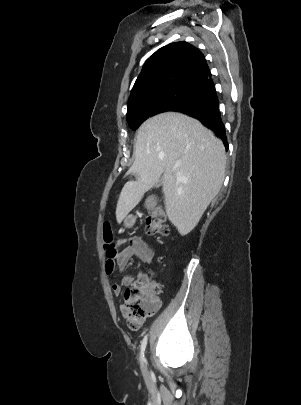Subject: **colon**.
Returning <instances> with one entry per match:
<instances>
[{
  "label": "colon",
  "instance_id": "obj_1",
  "mask_svg": "<svg viewBox=\"0 0 301 405\" xmlns=\"http://www.w3.org/2000/svg\"><path fill=\"white\" fill-rule=\"evenodd\" d=\"M102 231L104 249L108 259H112L117 253V247L113 240L111 224L104 222ZM168 231L165 213L161 209L152 210L146 219L147 234L166 236ZM159 294V286L146 277H140L125 291L121 309L130 328L139 329L145 320L157 311Z\"/></svg>",
  "mask_w": 301,
  "mask_h": 405
}]
</instances>
